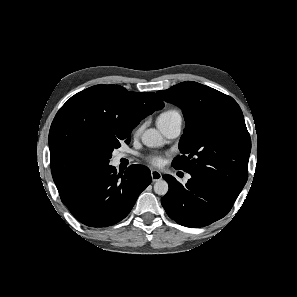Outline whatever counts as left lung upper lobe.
Returning a JSON list of instances; mask_svg holds the SVG:
<instances>
[{
	"label": "left lung upper lobe",
	"instance_id": "5c2ea615",
	"mask_svg": "<svg viewBox=\"0 0 297 297\" xmlns=\"http://www.w3.org/2000/svg\"><path fill=\"white\" fill-rule=\"evenodd\" d=\"M182 109L186 126L172 166L238 196L248 178L251 139L243 113L230 96L197 82L158 91Z\"/></svg>",
	"mask_w": 297,
	"mask_h": 297
}]
</instances>
